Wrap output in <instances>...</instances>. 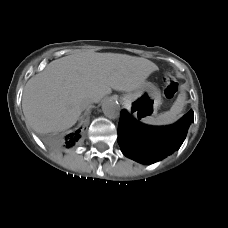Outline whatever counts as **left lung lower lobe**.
Listing matches in <instances>:
<instances>
[{
    "label": "left lung lower lobe",
    "instance_id": "1",
    "mask_svg": "<svg viewBox=\"0 0 228 228\" xmlns=\"http://www.w3.org/2000/svg\"><path fill=\"white\" fill-rule=\"evenodd\" d=\"M194 121L193 111L169 127H150L121 111L118 143L123 154L140 163L150 164L179 149Z\"/></svg>",
    "mask_w": 228,
    "mask_h": 228
}]
</instances>
